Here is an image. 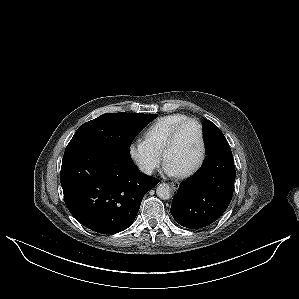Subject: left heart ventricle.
I'll list each match as a JSON object with an SVG mask.
<instances>
[{
  "instance_id": "b2bd125f",
  "label": "left heart ventricle",
  "mask_w": 299,
  "mask_h": 299,
  "mask_svg": "<svg viewBox=\"0 0 299 299\" xmlns=\"http://www.w3.org/2000/svg\"><path fill=\"white\" fill-rule=\"evenodd\" d=\"M199 152V136L194 126L182 130L169 156V163L180 172L191 167Z\"/></svg>"
}]
</instances>
